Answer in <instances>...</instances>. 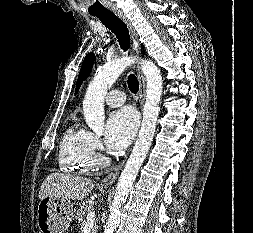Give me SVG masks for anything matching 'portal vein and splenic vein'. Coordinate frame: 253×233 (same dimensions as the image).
I'll return each instance as SVG.
<instances>
[{"instance_id": "obj_1", "label": "portal vein and splenic vein", "mask_w": 253, "mask_h": 233, "mask_svg": "<svg viewBox=\"0 0 253 233\" xmlns=\"http://www.w3.org/2000/svg\"><path fill=\"white\" fill-rule=\"evenodd\" d=\"M95 219H96L95 212L91 210V211L87 214L86 225L93 224V223L95 222Z\"/></svg>"}]
</instances>
